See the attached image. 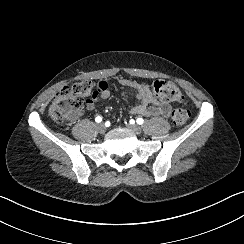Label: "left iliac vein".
<instances>
[{"label":"left iliac vein","instance_id":"4c4485c4","mask_svg":"<svg viewBox=\"0 0 244 244\" xmlns=\"http://www.w3.org/2000/svg\"><path fill=\"white\" fill-rule=\"evenodd\" d=\"M128 128L135 134H140L142 131L141 127L135 124H129Z\"/></svg>","mask_w":244,"mask_h":244}]
</instances>
